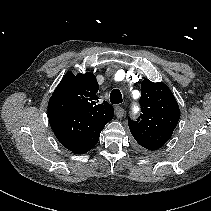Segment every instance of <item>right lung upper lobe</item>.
<instances>
[{"label":"right lung upper lobe","instance_id":"1","mask_svg":"<svg viewBox=\"0 0 211 211\" xmlns=\"http://www.w3.org/2000/svg\"><path fill=\"white\" fill-rule=\"evenodd\" d=\"M98 89L94 74L74 75L69 71L53 92L52 97L71 100L75 105V119L70 129L54 131L60 143L72 152L83 145L88 137L101 132L114 116V108L108 102L98 103Z\"/></svg>","mask_w":211,"mask_h":211}]
</instances>
